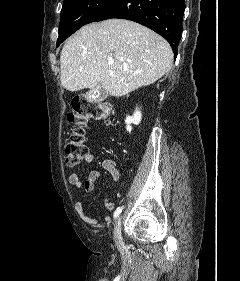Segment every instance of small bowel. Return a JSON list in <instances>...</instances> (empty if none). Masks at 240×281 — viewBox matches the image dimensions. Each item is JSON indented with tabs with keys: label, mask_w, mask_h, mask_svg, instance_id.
Masks as SVG:
<instances>
[{
	"label": "small bowel",
	"mask_w": 240,
	"mask_h": 281,
	"mask_svg": "<svg viewBox=\"0 0 240 281\" xmlns=\"http://www.w3.org/2000/svg\"><path fill=\"white\" fill-rule=\"evenodd\" d=\"M84 160L87 163H91L94 161V155L92 153H88ZM102 167L111 176L112 180L115 183L120 180V173L116 167V162L113 159L104 160L102 163ZM99 178L100 172L98 170H90L86 179L84 180L81 179L78 173H72L69 176V183L78 189H83L85 192H92ZM104 206L109 211H112L115 208V204L108 198H104ZM75 210L86 224L91 226L98 225L97 219L92 218L85 213L83 202H76ZM104 219L105 221H109L110 217L106 216Z\"/></svg>",
	"instance_id": "small-bowel-1"
}]
</instances>
